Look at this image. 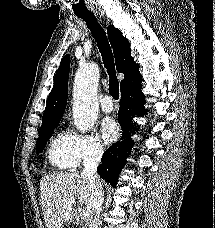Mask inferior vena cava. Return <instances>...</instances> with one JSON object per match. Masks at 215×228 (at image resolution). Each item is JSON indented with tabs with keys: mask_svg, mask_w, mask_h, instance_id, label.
Segmentation results:
<instances>
[{
	"mask_svg": "<svg viewBox=\"0 0 215 228\" xmlns=\"http://www.w3.org/2000/svg\"><path fill=\"white\" fill-rule=\"evenodd\" d=\"M102 156L103 148L95 146L92 152H89L88 156H85V158H83L82 162L83 170L81 172V176L89 180V188L92 192L93 214L91 218H89V228H99L98 218L104 200V192L103 186L98 180L97 168L101 162Z\"/></svg>",
	"mask_w": 215,
	"mask_h": 228,
	"instance_id": "inferior-vena-cava-1",
	"label": "inferior vena cava"
}]
</instances>
